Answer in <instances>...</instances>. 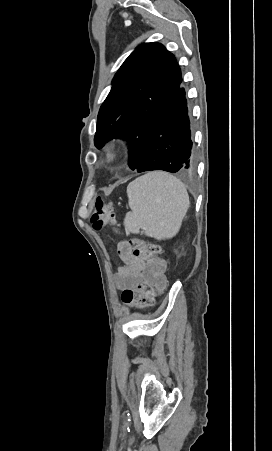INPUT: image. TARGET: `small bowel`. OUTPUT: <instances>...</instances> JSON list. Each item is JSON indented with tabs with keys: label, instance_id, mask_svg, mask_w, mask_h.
Returning a JSON list of instances; mask_svg holds the SVG:
<instances>
[{
	"label": "small bowel",
	"instance_id": "obj_1",
	"mask_svg": "<svg viewBox=\"0 0 272 451\" xmlns=\"http://www.w3.org/2000/svg\"><path fill=\"white\" fill-rule=\"evenodd\" d=\"M117 253L123 262V265L118 267L114 277L116 287L119 290L134 287L140 281L150 260H154L156 263L159 274L163 273L167 267L164 259L155 256H146L145 260H132V245H123L122 241L117 245Z\"/></svg>",
	"mask_w": 272,
	"mask_h": 451
}]
</instances>
